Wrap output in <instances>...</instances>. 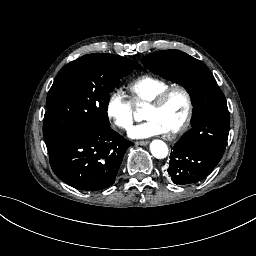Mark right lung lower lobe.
Segmentation results:
<instances>
[{"instance_id": "obj_1", "label": "right lung lower lobe", "mask_w": 256, "mask_h": 256, "mask_svg": "<svg viewBox=\"0 0 256 256\" xmlns=\"http://www.w3.org/2000/svg\"><path fill=\"white\" fill-rule=\"evenodd\" d=\"M58 178L79 190H101L115 182L123 156L133 145L111 128L45 141Z\"/></svg>"}]
</instances>
